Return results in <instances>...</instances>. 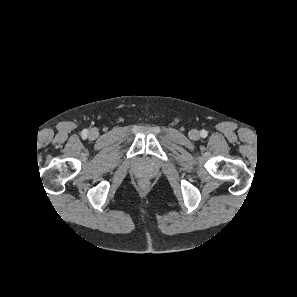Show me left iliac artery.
<instances>
[{
    "instance_id": "left-iliac-artery-1",
    "label": "left iliac artery",
    "mask_w": 297,
    "mask_h": 297,
    "mask_svg": "<svg viewBox=\"0 0 297 297\" xmlns=\"http://www.w3.org/2000/svg\"><path fill=\"white\" fill-rule=\"evenodd\" d=\"M207 135H208V132H207L206 130H201V132H200V136H201L202 138H206Z\"/></svg>"
}]
</instances>
